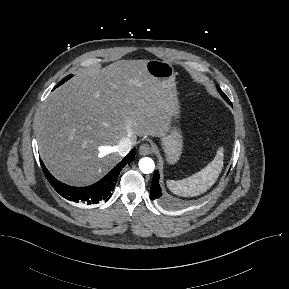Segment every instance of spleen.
<instances>
[{
  "mask_svg": "<svg viewBox=\"0 0 289 289\" xmlns=\"http://www.w3.org/2000/svg\"><path fill=\"white\" fill-rule=\"evenodd\" d=\"M223 147L215 158L202 170L182 180L167 181L168 188L176 195L193 197L207 191L217 180L223 167Z\"/></svg>",
  "mask_w": 289,
  "mask_h": 289,
  "instance_id": "1",
  "label": "spleen"
}]
</instances>
